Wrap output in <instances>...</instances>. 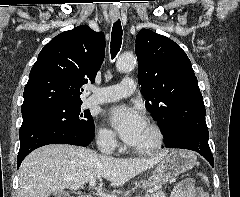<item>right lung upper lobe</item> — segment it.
I'll return each instance as SVG.
<instances>
[{
    "label": "right lung upper lobe",
    "mask_w": 240,
    "mask_h": 197,
    "mask_svg": "<svg viewBox=\"0 0 240 197\" xmlns=\"http://www.w3.org/2000/svg\"><path fill=\"white\" fill-rule=\"evenodd\" d=\"M103 32L78 26L54 37L38 55L24 90L22 110L53 102H82L80 94L95 80L105 56Z\"/></svg>",
    "instance_id": "right-lung-upper-lobe-1"
}]
</instances>
